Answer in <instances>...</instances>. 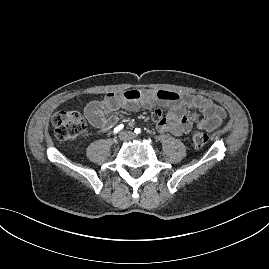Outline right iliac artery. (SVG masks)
<instances>
[{"label": "right iliac artery", "instance_id": "obj_1", "mask_svg": "<svg viewBox=\"0 0 269 269\" xmlns=\"http://www.w3.org/2000/svg\"><path fill=\"white\" fill-rule=\"evenodd\" d=\"M124 125L120 124L117 127L114 128L113 133L117 134L118 132H120L123 129Z\"/></svg>", "mask_w": 269, "mask_h": 269}]
</instances>
